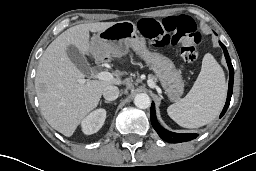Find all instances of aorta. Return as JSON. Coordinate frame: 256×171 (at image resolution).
<instances>
[{
    "mask_svg": "<svg viewBox=\"0 0 256 171\" xmlns=\"http://www.w3.org/2000/svg\"><path fill=\"white\" fill-rule=\"evenodd\" d=\"M134 104L140 109H147L151 105V100L146 93H139L134 98Z\"/></svg>",
    "mask_w": 256,
    "mask_h": 171,
    "instance_id": "aorta-1",
    "label": "aorta"
}]
</instances>
